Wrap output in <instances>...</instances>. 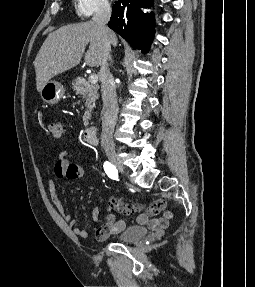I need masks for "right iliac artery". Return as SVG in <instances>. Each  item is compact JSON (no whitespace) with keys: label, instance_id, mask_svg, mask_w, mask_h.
<instances>
[{"label":"right iliac artery","instance_id":"right-iliac-artery-1","mask_svg":"<svg viewBox=\"0 0 255 287\" xmlns=\"http://www.w3.org/2000/svg\"><path fill=\"white\" fill-rule=\"evenodd\" d=\"M104 170L109 178L113 180H118V171L116 167L111 164L109 161L104 162Z\"/></svg>","mask_w":255,"mask_h":287}]
</instances>
